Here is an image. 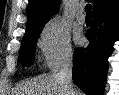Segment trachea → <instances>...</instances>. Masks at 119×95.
<instances>
[{
    "label": "trachea",
    "mask_w": 119,
    "mask_h": 95,
    "mask_svg": "<svg viewBox=\"0 0 119 95\" xmlns=\"http://www.w3.org/2000/svg\"><path fill=\"white\" fill-rule=\"evenodd\" d=\"M92 5L91 4H87L86 7H85V12H86V15L87 16H92Z\"/></svg>",
    "instance_id": "obj_1"
}]
</instances>
